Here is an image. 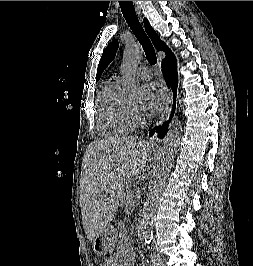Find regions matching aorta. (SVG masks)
<instances>
[{"label":"aorta","mask_w":253,"mask_h":266,"mask_svg":"<svg viewBox=\"0 0 253 266\" xmlns=\"http://www.w3.org/2000/svg\"><path fill=\"white\" fill-rule=\"evenodd\" d=\"M143 55L140 45H127L123 53L122 72H123V91L126 97L136 98L141 93L140 84L132 78L130 71L138 63ZM181 122L178 117H174L169 125V130L163 143L161 152L157 158L153 180L147 193V200L143 206L140 217V228L142 239L145 243H150L153 239V218L155 210L166 184L170 169L173 164L177 147L181 138Z\"/></svg>","instance_id":"762f6f07"}]
</instances>
